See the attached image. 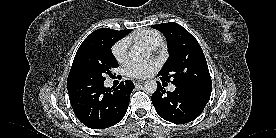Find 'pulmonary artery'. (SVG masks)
Here are the masks:
<instances>
[{
  "label": "pulmonary artery",
  "instance_id": "e3ab8cb5",
  "mask_svg": "<svg viewBox=\"0 0 276 138\" xmlns=\"http://www.w3.org/2000/svg\"><path fill=\"white\" fill-rule=\"evenodd\" d=\"M169 89H170L171 91H173V90L175 89V87H174V86H171Z\"/></svg>",
  "mask_w": 276,
  "mask_h": 138
}]
</instances>
